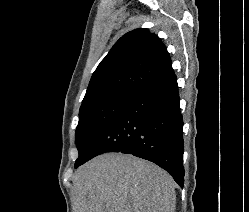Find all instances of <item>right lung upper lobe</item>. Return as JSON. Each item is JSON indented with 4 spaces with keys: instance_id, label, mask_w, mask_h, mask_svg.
Wrapping results in <instances>:
<instances>
[{
    "instance_id": "1",
    "label": "right lung upper lobe",
    "mask_w": 249,
    "mask_h": 212,
    "mask_svg": "<svg viewBox=\"0 0 249 212\" xmlns=\"http://www.w3.org/2000/svg\"><path fill=\"white\" fill-rule=\"evenodd\" d=\"M173 74L161 39L148 29H136L122 36L98 65L83 101L115 91L140 94Z\"/></svg>"
}]
</instances>
